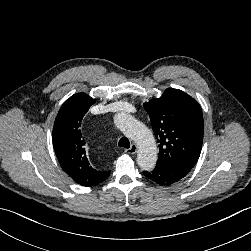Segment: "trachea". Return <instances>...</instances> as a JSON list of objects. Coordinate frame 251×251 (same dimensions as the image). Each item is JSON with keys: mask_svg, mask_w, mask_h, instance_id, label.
Listing matches in <instances>:
<instances>
[{"mask_svg": "<svg viewBox=\"0 0 251 251\" xmlns=\"http://www.w3.org/2000/svg\"><path fill=\"white\" fill-rule=\"evenodd\" d=\"M118 145H119L120 147L129 148V147H130V142H129L128 138L122 137V138L119 140Z\"/></svg>", "mask_w": 251, "mask_h": 251, "instance_id": "obj_1", "label": "trachea"}]
</instances>
